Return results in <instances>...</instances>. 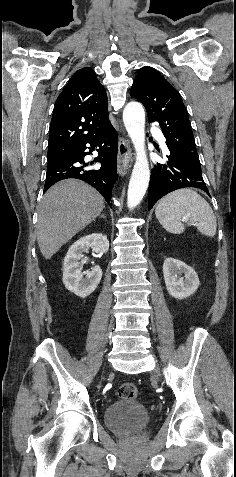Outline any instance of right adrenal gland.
<instances>
[{
	"instance_id": "obj_1",
	"label": "right adrenal gland",
	"mask_w": 236,
	"mask_h": 477,
	"mask_svg": "<svg viewBox=\"0 0 236 477\" xmlns=\"http://www.w3.org/2000/svg\"><path fill=\"white\" fill-rule=\"evenodd\" d=\"M100 218H105L104 214H102V215L100 216Z\"/></svg>"
}]
</instances>
